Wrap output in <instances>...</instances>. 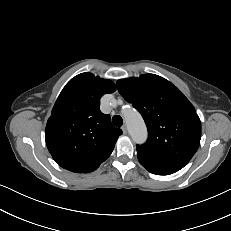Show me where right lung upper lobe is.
I'll use <instances>...</instances> for the list:
<instances>
[{"label":"right lung upper lobe","instance_id":"1","mask_svg":"<svg viewBox=\"0 0 231 231\" xmlns=\"http://www.w3.org/2000/svg\"><path fill=\"white\" fill-rule=\"evenodd\" d=\"M115 84L81 73L61 91L47 121L45 139L53 159L75 173L96 170L112 153L122 130L100 111V98Z\"/></svg>","mask_w":231,"mask_h":231}]
</instances>
